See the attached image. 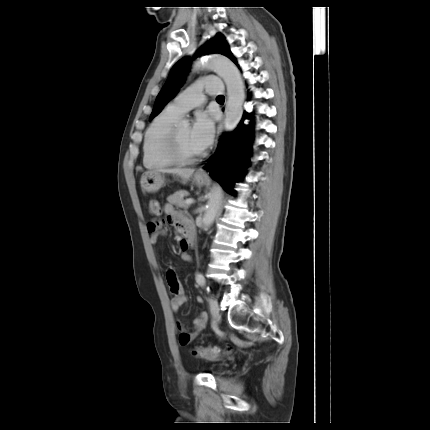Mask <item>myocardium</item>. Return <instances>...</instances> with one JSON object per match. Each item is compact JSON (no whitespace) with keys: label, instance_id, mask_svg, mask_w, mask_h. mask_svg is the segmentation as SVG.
<instances>
[{"label":"myocardium","instance_id":"1","mask_svg":"<svg viewBox=\"0 0 430 430\" xmlns=\"http://www.w3.org/2000/svg\"><path fill=\"white\" fill-rule=\"evenodd\" d=\"M180 125L176 124L171 131L169 132L167 139H166V143H165V150L166 153L168 155V157L175 163V164H180V165H184V164H192L196 161H198L201 156L202 153L199 152L195 155H186L181 147H180V143H179V138H178V128Z\"/></svg>","mask_w":430,"mask_h":430}]
</instances>
